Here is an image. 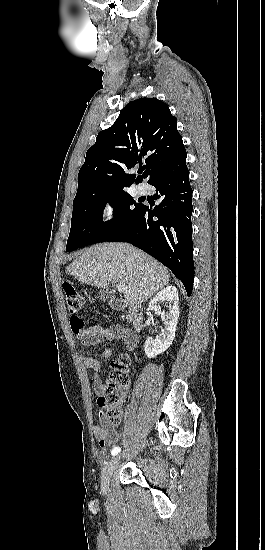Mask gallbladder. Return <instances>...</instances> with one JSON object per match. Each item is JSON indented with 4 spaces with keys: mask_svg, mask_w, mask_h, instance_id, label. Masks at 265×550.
I'll list each match as a JSON object with an SVG mask.
<instances>
[{
    "mask_svg": "<svg viewBox=\"0 0 265 550\" xmlns=\"http://www.w3.org/2000/svg\"><path fill=\"white\" fill-rule=\"evenodd\" d=\"M98 298L102 301H106V300H109V299H113L114 296L108 290H100L99 293H98Z\"/></svg>",
    "mask_w": 265,
    "mask_h": 550,
    "instance_id": "bac80fb5",
    "label": "gallbladder"
}]
</instances>
